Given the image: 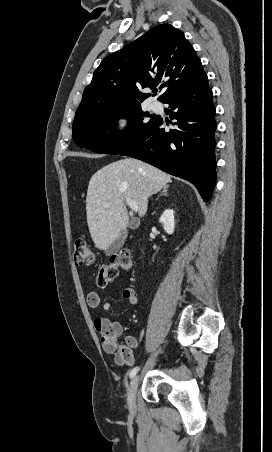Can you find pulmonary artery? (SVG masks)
Here are the masks:
<instances>
[{"label": "pulmonary artery", "instance_id": "e3ab8cb5", "mask_svg": "<svg viewBox=\"0 0 272 452\" xmlns=\"http://www.w3.org/2000/svg\"><path fill=\"white\" fill-rule=\"evenodd\" d=\"M151 109L154 111H159L161 109V104L158 101H153L151 103Z\"/></svg>", "mask_w": 272, "mask_h": 452}]
</instances>
